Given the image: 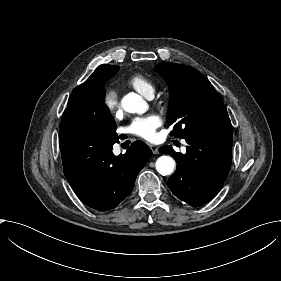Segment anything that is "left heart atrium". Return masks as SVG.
<instances>
[{"label":"left heart atrium","mask_w":281,"mask_h":281,"mask_svg":"<svg viewBox=\"0 0 281 281\" xmlns=\"http://www.w3.org/2000/svg\"><path fill=\"white\" fill-rule=\"evenodd\" d=\"M162 118L157 113H149L145 116L134 118L127 126L132 135L148 141H155L158 138L156 130L161 127Z\"/></svg>","instance_id":"obj_1"}]
</instances>
